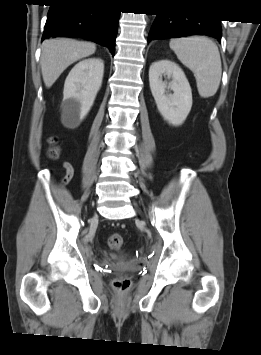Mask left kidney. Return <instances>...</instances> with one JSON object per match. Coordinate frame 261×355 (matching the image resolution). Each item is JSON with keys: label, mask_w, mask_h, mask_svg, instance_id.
<instances>
[{"label": "left kidney", "mask_w": 261, "mask_h": 355, "mask_svg": "<svg viewBox=\"0 0 261 355\" xmlns=\"http://www.w3.org/2000/svg\"><path fill=\"white\" fill-rule=\"evenodd\" d=\"M162 76L171 81H163ZM149 83L162 117L174 126L183 124L192 107V91L183 70L172 61H156L149 68ZM166 89L173 94H167Z\"/></svg>", "instance_id": "left-kidney-1"}]
</instances>
